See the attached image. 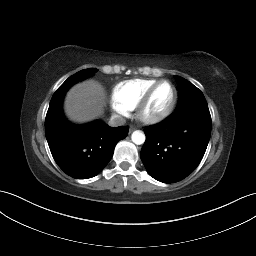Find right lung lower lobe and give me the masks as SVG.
Returning <instances> with one entry per match:
<instances>
[{"mask_svg":"<svg viewBox=\"0 0 256 256\" xmlns=\"http://www.w3.org/2000/svg\"><path fill=\"white\" fill-rule=\"evenodd\" d=\"M64 95L51 99L45 119V134L55 162L69 176L92 178L111 160L118 141L124 139L129 128L109 127L96 120L74 125L62 112Z\"/></svg>","mask_w":256,"mask_h":256,"instance_id":"98d812e1","label":"right lung lower lobe"}]
</instances>
